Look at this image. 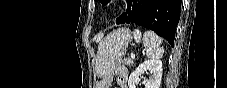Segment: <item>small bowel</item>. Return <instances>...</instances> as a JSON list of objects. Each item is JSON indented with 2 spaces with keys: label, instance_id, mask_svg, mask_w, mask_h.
I'll return each instance as SVG.
<instances>
[{
  "label": "small bowel",
  "instance_id": "1",
  "mask_svg": "<svg viewBox=\"0 0 227 88\" xmlns=\"http://www.w3.org/2000/svg\"><path fill=\"white\" fill-rule=\"evenodd\" d=\"M115 73L117 75V83L121 88H128V70L123 65H118L115 68ZM102 85L105 88H109L111 85V77H107L102 81Z\"/></svg>",
  "mask_w": 227,
  "mask_h": 88
}]
</instances>
